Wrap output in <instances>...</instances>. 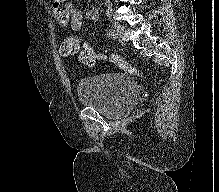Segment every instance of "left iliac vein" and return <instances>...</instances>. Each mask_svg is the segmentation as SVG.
Wrapping results in <instances>:
<instances>
[{
	"instance_id": "4c4485c4",
	"label": "left iliac vein",
	"mask_w": 219,
	"mask_h": 192,
	"mask_svg": "<svg viewBox=\"0 0 219 192\" xmlns=\"http://www.w3.org/2000/svg\"><path fill=\"white\" fill-rule=\"evenodd\" d=\"M114 32V38L121 41L123 34L125 32V28L122 24L120 23H115L114 28L112 29Z\"/></svg>"
}]
</instances>
